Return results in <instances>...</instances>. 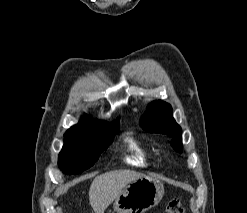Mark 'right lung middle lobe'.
Masks as SVG:
<instances>
[{
	"instance_id": "obj_1",
	"label": "right lung middle lobe",
	"mask_w": 247,
	"mask_h": 213,
	"mask_svg": "<svg viewBox=\"0 0 247 213\" xmlns=\"http://www.w3.org/2000/svg\"><path fill=\"white\" fill-rule=\"evenodd\" d=\"M118 131L119 123L89 135L65 136L58 158L59 168L67 174H78L91 167Z\"/></svg>"
}]
</instances>
